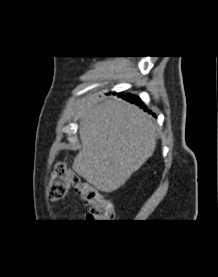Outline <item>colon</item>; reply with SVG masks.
Returning <instances> with one entry per match:
<instances>
[{"mask_svg": "<svg viewBox=\"0 0 218 277\" xmlns=\"http://www.w3.org/2000/svg\"><path fill=\"white\" fill-rule=\"evenodd\" d=\"M69 188H74L78 191L83 200L90 206L86 216L87 221L108 222L114 218L115 208L113 201L84 181L66 163L59 162L54 166L49 179L48 197L53 201L62 199Z\"/></svg>", "mask_w": 218, "mask_h": 277, "instance_id": "colon-1", "label": "colon"}]
</instances>
